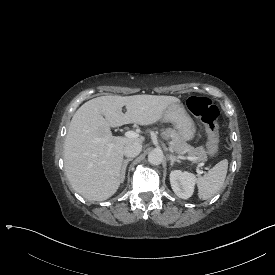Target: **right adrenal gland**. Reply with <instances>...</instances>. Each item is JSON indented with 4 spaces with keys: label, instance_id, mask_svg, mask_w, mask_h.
<instances>
[{
    "label": "right adrenal gland",
    "instance_id": "obj_1",
    "mask_svg": "<svg viewBox=\"0 0 275 275\" xmlns=\"http://www.w3.org/2000/svg\"><path fill=\"white\" fill-rule=\"evenodd\" d=\"M133 158H128V159H125L123 160L122 162V168H121V183L124 182V179H125V172H126V167L129 163V161H132Z\"/></svg>",
    "mask_w": 275,
    "mask_h": 275
}]
</instances>
